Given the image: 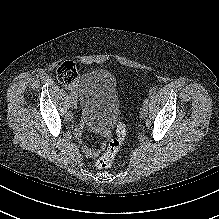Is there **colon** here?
Returning <instances> with one entry per match:
<instances>
[{"label":"colon","mask_w":219,"mask_h":219,"mask_svg":"<svg viewBox=\"0 0 219 219\" xmlns=\"http://www.w3.org/2000/svg\"><path fill=\"white\" fill-rule=\"evenodd\" d=\"M57 79L63 84H72L76 81L78 71L73 62L65 61L59 64L56 69ZM126 138V125L119 122L115 128V137L109 141L106 151L96 161L95 165L98 169H106L110 166L112 160L121 148Z\"/></svg>","instance_id":"obj_1"}]
</instances>
